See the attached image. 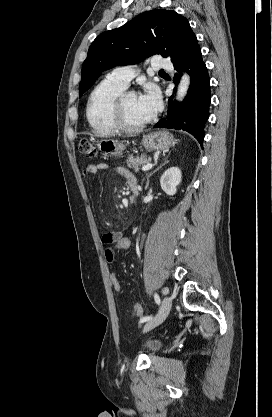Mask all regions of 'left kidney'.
I'll list each match as a JSON object with an SVG mask.
<instances>
[{
  "label": "left kidney",
  "instance_id": "obj_1",
  "mask_svg": "<svg viewBox=\"0 0 272 417\" xmlns=\"http://www.w3.org/2000/svg\"><path fill=\"white\" fill-rule=\"evenodd\" d=\"M182 173L178 167H171L167 169L160 179V185L162 190L170 195L173 196L177 192V186L181 182Z\"/></svg>",
  "mask_w": 272,
  "mask_h": 417
}]
</instances>
